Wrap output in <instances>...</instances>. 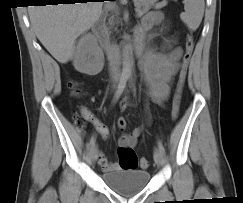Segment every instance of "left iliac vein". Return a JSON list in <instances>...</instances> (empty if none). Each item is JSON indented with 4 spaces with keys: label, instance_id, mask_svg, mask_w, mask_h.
Segmentation results:
<instances>
[{
    "label": "left iliac vein",
    "instance_id": "left-iliac-vein-1",
    "mask_svg": "<svg viewBox=\"0 0 243 203\" xmlns=\"http://www.w3.org/2000/svg\"><path fill=\"white\" fill-rule=\"evenodd\" d=\"M154 161L158 166H162L164 162L163 153L158 148L154 150Z\"/></svg>",
    "mask_w": 243,
    "mask_h": 203
}]
</instances>
